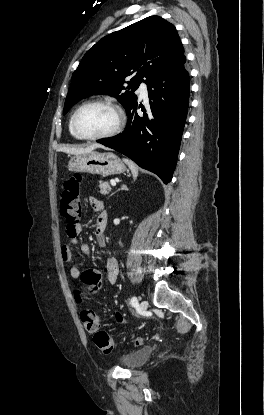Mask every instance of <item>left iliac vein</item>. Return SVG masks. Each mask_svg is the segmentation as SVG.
Segmentation results:
<instances>
[{
    "instance_id": "left-iliac-vein-1",
    "label": "left iliac vein",
    "mask_w": 264,
    "mask_h": 415,
    "mask_svg": "<svg viewBox=\"0 0 264 415\" xmlns=\"http://www.w3.org/2000/svg\"><path fill=\"white\" fill-rule=\"evenodd\" d=\"M148 308V301L147 300H142L140 302V309L141 311H146Z\"/></svg>"
}]
</instances>
